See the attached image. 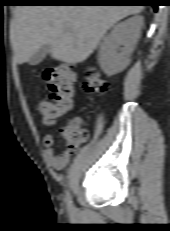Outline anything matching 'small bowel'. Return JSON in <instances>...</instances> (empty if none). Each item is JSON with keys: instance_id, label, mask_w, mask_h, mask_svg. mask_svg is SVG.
<instances>
[{"instance_id": "c3829d8e", "label": "small bowel", "mask_w": 170, "mask_h": 231, "mask_svg": "<svg viewBox=\"0 0 170 231\" xmlns=\"http://www.w3.org/2000/svg\"><path fill=\"white\" fill-rule=\"evenodd\" d=\"M82 122L80 117H71L66 120V126L80 125ZM43 143L45 146V157L48 164L55 170H61L67 166L70 161L72 149H66L62 153L57 154L55 152V140L52 133H48L44 136Z\"/></svg>"}]
</instances>
